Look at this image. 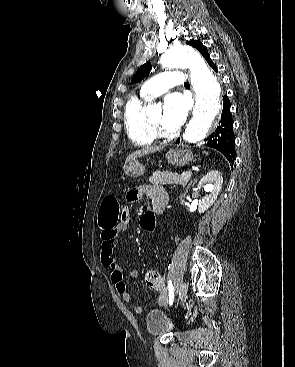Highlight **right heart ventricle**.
I'll return each instance as SVG.
<instances>
[{"label": "right heart ventricle", "instance_id": "1", "mask_svg": "<svg viewBox=\"0 0 295 367\" xmlns=\"http://www.w3.org/2000/svg\"><path fill=\"white\" fill-rule=\"evenodd\" d=\"M124 125L129 139L137 146H149L156 140L144 113V102L133 98L124 109Z\"/></svg>", "mask_w": 295, "mask_h": 367}]
</instances>
